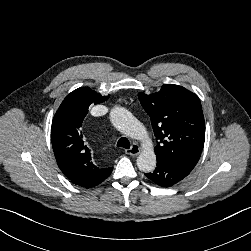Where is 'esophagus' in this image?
Here are the masks:
<instances>
[{
  "label": "esophagus",
  "instance_id": "1",
  "mask_svg": "<svg viewBox=\"0 0 251 251\" xmlns=\"http://www.w3.org/2000/svg\"><path fill=\"white\" fill-rule=\"evenodd\" d=\"M141 148L137 144H133L130 149H127L125 152L128 155L136 156L141 153Z\"/></svg>",
  "mask_w": 251,
  "mask_h": 251
}]
</instances>
